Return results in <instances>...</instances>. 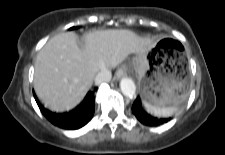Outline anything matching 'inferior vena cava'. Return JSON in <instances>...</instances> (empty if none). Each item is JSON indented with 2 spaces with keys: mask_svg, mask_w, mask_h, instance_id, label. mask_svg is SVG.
<instances>
[{
  "mask_svg": "<svg viewBox=\"0 0 225 155\" xmlns=\"http://www.w3.org/2000/svg\"><path fill=\"white\" fill-rule=\"evenodd\" d=\"M111 77V71L104 68L96 74L94 81L96 85H100L101 83L109 82L111 80Z\"/></svg>",
  "mask_w": 225,
  "mask_h": 155,
  "instance_id": "obj_1",
  "label": "inferior vena cava"
}]
</instances>
